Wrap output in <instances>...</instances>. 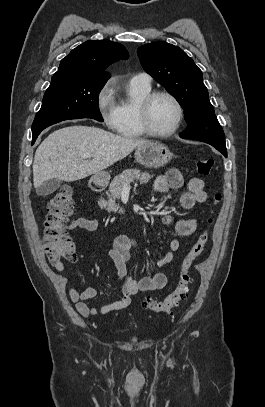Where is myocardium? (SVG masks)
<instances>
[{
  "label": "myocardium",
  "mask_w": 265,
  "mask_h": 407,
  "mask_svg": "<svg viewBox=\"0 0 265 407\" xmlns=\"http://www.w3.org/2000/svg\"><path fill=\"white\" fill-rule=\"evenodd\" d=\"M159 96H166V97L170 98L176 105L177 111H178L176 123L170 130L165 131V132L155 131L151 127L150 120H149L151 105H152L153 101ZM137 118H138V123H139L141 130L146 135L151 136V137H156V138H167V137L172 136L179 130V128L183 122V119H184V107H183L181 101L178 99V97L175 96L173 93L166 91V90H157V91L150 92L140 102L138 109H137Z\"/></svg>",
  "instance_id": "1"
}]
</instances>
